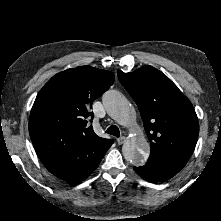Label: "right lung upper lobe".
I'll return each mask as SVG.
<instances>
[{
	"mask_svg": "<svg viewBox=\"0 0 221 221\" xmlns=\"http://www.w3.org/2000/svg\"><path fill=\"white\" fill-rule=\"evenodd\" d=\"M113 82L112 72L82 66L62 71L44 85L29 119L30 137L42 161L91 141L114 142L97 136L87 124L93 101Z\"/></svg>",
	"mask_w": 221,
	"mask_h": 221,
	"instance_id": "1",
	"label": "right lung upper lobe"
}]
</instances>
